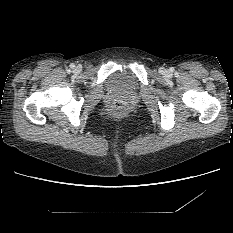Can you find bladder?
I'll return each instance as SVG.
<instances>
[{"label":"bladder","instance_id":"31cf9c89","mask_svg":"<svg viewBox=\"0 0 233 233\" xmlns=\"http://www.w3.org/2000/svg\"><path fill=\"white\" fill-rule=\"evenodd\" d=\"M107 88L115 93L136 91V79L131 71H116L107 79Z\"/></svg>","mask_w":233,"mask_h":233}]
</instances>
